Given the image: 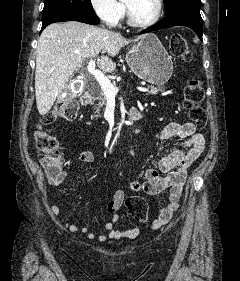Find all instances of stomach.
<instances>
[{
  "instance_id": "stomach-1",
  "label": "stomach",
  "mask_w": 240,
  "mask_h": 281,
  "mask_svg": "<svg viewBox=\"0 0 240 281\" xmlns=\"http://www.w3.org/2000/svg\"><path fill=\"white\" fill-rule=\"evenodd\" d=\"M125 59L135 75L154 85H163L173 73L172 59L154 34L133 45Z\"/></svg>"
}]
</instances>
